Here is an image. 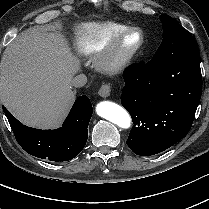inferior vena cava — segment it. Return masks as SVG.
I'll return each instance as SVG.
<instances>
[{
  "label": "inferior vena cava",
  "mask_w": 209,
  "mask_h": 209,
  "mask_svg": "<svg viewBox=\"0 0 209 209\" xmlns=\"http://www.w3.org/2000/svg\"><path fill=\"white\" fill-rule=\"evenodd\" d=\"M86 83H87V77L85 74L77 75L71 81V85L74 87H82Z\"/></svg>",
  "instance_id": "inferior-vena-cava-1"
}]
</instances>
